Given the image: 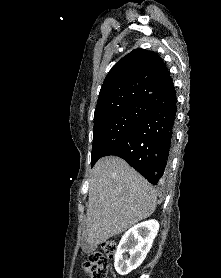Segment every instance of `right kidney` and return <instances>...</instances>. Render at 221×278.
Masks as SVG:
<instances>
[{"mask_svg": "<svg viewBox=\"0 0 221 278\" xmlns=\"http://www.w3.org/2000/svg\"><path fill=\"white\" fill-rule=\"evenodd\" d=\"M159 230L156 220L135 225L122 237L115 253L114 267L118 274L127 275L146 258ZM128 252L129 256L125 255Z\"/></svg>", "mask_w": 221, "mask_h": 278, "instance_id": "right-kidney-1", "label": "right kidney"}]
</instances>
